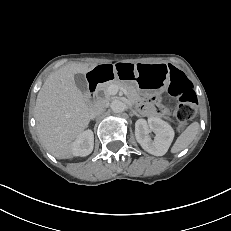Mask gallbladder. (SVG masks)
I'll list each match as a JSON object with an SVG mask.
<instances>
[{
    "label": "gallbladder",
    "instance_id": "gallbladder-1",
    "mask_svg": "<svg viewBox=\"0 0 231 231\" xmlns=\"http://www.w3.org/2000/svg\"><path fill=\"white\" fill-rule=\"evenodd\" d=\"M75 84L77 88L82 91L86 92L87 91V81L85 79V76L81 73L75 74L74 76Z\"/></svg>",
    "mask_w": 231,
    "mask_h": 231
}]
</instances>
